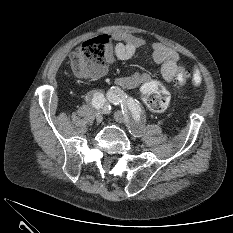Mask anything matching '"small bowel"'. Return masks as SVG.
Listing matches in <instances>:
<instances>
[{"label": "small bowel", "mask_w": 233, "mask_h": 233, "mask_svg": "<svg viewBox=\"0 0 233 233\" xmlns=\"http://www.w3.org/2000/svg\"><path fill=\"white\" fill-rule=\"evenodd\" d=\"M110 44L106 51L107 64H111L115 58L127 60L133 57L137 51L145 46L142 38L126 33H114L109 36ZM148 61L151 64L160 65L161 74L168 83L174 81V78L181 68L179 64V55L177 52L160 42L152 45V54ZM104 67L99 75L106 72ZM149 76L143 72H135L130 76L119 77L116 84L122 88H135L141 84L148 82Z\"/></svg>", "instance_id": "c3829d8e"}]
</instances>
